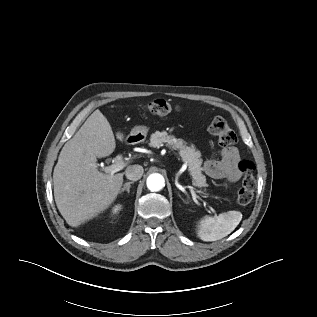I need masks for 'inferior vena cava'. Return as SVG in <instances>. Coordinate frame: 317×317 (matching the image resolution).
<instances>
[{
  "label": "inferior vena cava",
  "mask_w": 317,
  "mask_h": 317,
  "mask_svg": "<svg viewBox=\"0 0 317 317\" xmlns=\"http://www.w3.org/2000/svg\"><path fill=\"white\" fill-rule=\"evenodd\" d=\"M144 173V169L141 165H132L125 170L126 178L132 181L139 180Z\"/></svg>",
  "instance_id": "1"
}]
</instances>
